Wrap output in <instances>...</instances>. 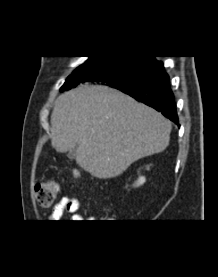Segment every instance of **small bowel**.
Masks as SVG:
<instances>
[{"instance_id":"obj_1","label":"small bowel","mask_w":218,"mask_h":277,"mask_svg":"<svg viewBox=\"0 0 218 277\" xmlns=\"http://www.w3.org/2000/svg\"><path fill=\"white\" fill-rule=\"evenodd\" d=\"M79 209V200L74 197L64 195L60 198L58 203L53 207L48 215L49 222H59L64 215H71L75 222H82L83 217L76 212Z\"/></svg>"}]
</instances>
